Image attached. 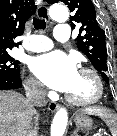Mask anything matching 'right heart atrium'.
Instances as JSON below:
<instances>
[{
    "label": "right heart atrium",
    "mask_w": 117,
    "mask_h": 136,
    "mask_svg": "<svg viewBox=\"0 0 117 136\" xmlns=\"http://www.w3.org/2000/svg\"><path fill=\"white\" fill-rule=\"evenodd\" d=\"M25 88H26L28 95L33 96V97H41L44 94L43 87L40 84V82H38L32 77H29L25 81Z\"/></svg>",
    "instance_id": "d8ad5b80"
}]
</instances>
